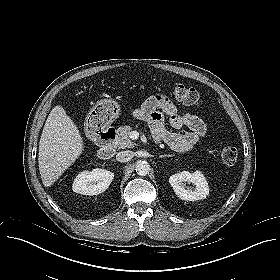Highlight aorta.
Wrapping results in <instances>:
<instances>
[{
    "instance_id": "aorta-1",
    "label": "aorta",
    "mask_w": 280,
    "mask_h": 280,
    "mask_svg": "<svg viewBox=\"0 0 280 280\" xmlns=\"http://www.w3.org/2000/svg\"><path fill=\"white\" fill-rule=\"evenodd\" d=\"M150 171V165L147 161H138L136 163V173L140 176H146Z\"/></svg>"
}]
</instances>
